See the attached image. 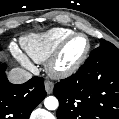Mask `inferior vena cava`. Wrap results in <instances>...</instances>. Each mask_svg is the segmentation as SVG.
<instances>
[{"label":"inferior vena cava","mask_w":119,"mask_h":119,"mask_svg":"<svg viewBox=\"0 0 119 119\" xmlns=\"http://www.w3.org/2000/svg\"><path fill=\"white\" fill-rule=\"evenodd\" d=\"M32 78V74L21 68H13L8 74V80L14 84H22Z\"/></svg>","instance_id":"inferior-vena-cava-1"}]
</instances>
